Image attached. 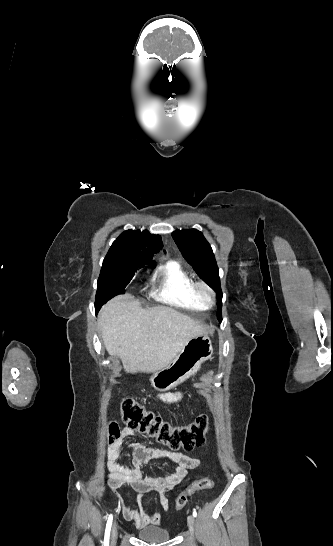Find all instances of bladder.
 <instances>
[{"label": "bladder", "mask_w": 333, "mask_h": 546, "mask_svg": "<svg viewBox=\"0 0 333 546\" xmlns=\"http://www.w3.org/2000/svg\"><path fill=\"white\" fill-rule=\"evenodd\" d=\"M139 539L148 543H163L169 540V532L161 527L148 526L137 533Z\"/></svg>", "instance_id": "1"}]
</instances>
